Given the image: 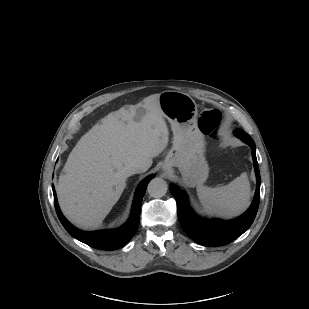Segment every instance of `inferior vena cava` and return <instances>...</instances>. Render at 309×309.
Returning <instances> with one entry per match:
<instances>
[{
  "instance_id": "602c4592",
  "label": "inferior vena cava",
  "mask_w": 309,
  "mask_h": 309,
  "mask_svg": "<svg viewBox=\"0 0 309 309\" xmlns=\"http://www.w3.org/2000/svg\"><path fill=\"white\" fill-rule=\"evenodd\" d=\"M144 171H146V168L144 166L136 165V166H133L132 168H130L127 171V174L130 176L132 174L141 173V172H144Z\"/></svg>"
}]
</instances>
